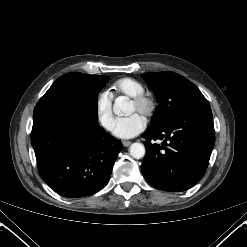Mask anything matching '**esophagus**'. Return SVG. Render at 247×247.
<instances>
[{
	"label": "esophagus",
	"mask_w": 247,
	"mask_h": 247,
	"mask_svg": "<svg viewBox=\"0 0 247 247\" xmlns=\"http://www.w3.org/2000/svg\"><path fill=\"white\" fill-rule=\"evenodd\" d=\"M122 144L125 146V147H128L130 144H131V141H122Z\"/></svg>",
	"instance_id": "esophagus-1"
}]
</instances>
